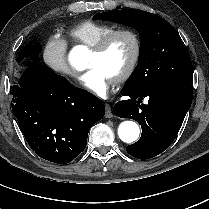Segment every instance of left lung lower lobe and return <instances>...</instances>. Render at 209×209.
Segmentation results:
<instances>
[{
  "label": "left lung lower lobe",
  "instance_id": "1",
  "mask_svg": "<svg viewBox=\"0 0 209 209\" xmlns=\"http://www.w3.org/2000/svg\"><path fill=\"white\" fill-rule=\"evenodd\" d=\"M130 99L114 105L115 115L136 120L142 128L140 139L126 151L138 159L152 158L167 149L176 138L193 97V75L145 87L121 90ZM147 97L148 103L142 104Z\"/></svg>",
  "mask_w": 209,
  "mask_h": 209
}]
</instances>
